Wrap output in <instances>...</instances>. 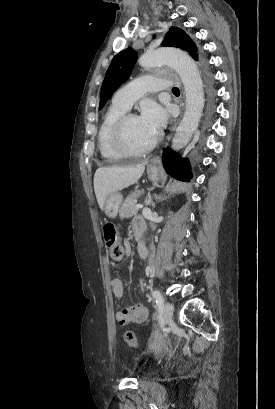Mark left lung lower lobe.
Segmentation results:
<instances>
[{
	"instance_id": "left-lung-lower-lobe-1",
	"label": "left lung lower lobe",
	"mask_w": 275,
	"mask_h": 409,
	"mask_svg": "<svg viewBox=\"0 0 275 409\" xmlns=\"http://www.w3.org/2000/svg\"><path fill=\"white\" fill-rule=\"evenodd\" d=\"M210 79V76L208 77ZM213 93V92H212ZM213 108L211 107V110ZM162 163L165 171L174 178L189 181L191 178L188 159L181 158L177 153L167 148L162 155Z\"/></svg>"
}]
</instances>
